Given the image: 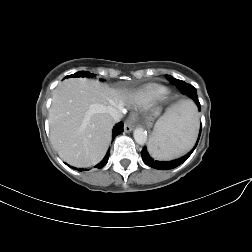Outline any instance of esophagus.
Segmentation results:
<instances>
[{"mask_svg":"<svg viewBox=\"0 0 252 252\" xmlns=\"http://www.w3.org/2000/svg\"><path fill=\"white\" fill-rule=\"evenodd\" d=\"M133 127H134V125H133L132 120L128 119L125 121V123H124L125 132H127V133L131 132L133 130Z\"/></svg>","mask_w":252,"mask_h":252,"instance_id":"1","label":"esophagus"}]
</instances>
